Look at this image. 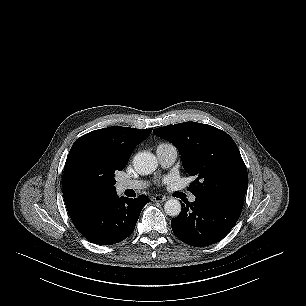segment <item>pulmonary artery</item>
Returning a JSON list of instances; mask_svg holds the SVG:
<instances>
[{"instance_id":"1","label":"pulmonary artery","mask_w":306,"mask_h":306,"mask_svg":"<svg viewBox=\"0 0 306 306\" xmlns=\"http://www.w3.org/2000/svg\"><path fill=\"white\" fill-rule=\"evenodd\" d=\"M156 156L161 166L168 167L172 165L177 158V149L171 145H158L156 148ZM146 187V183L141 180H121L117 183L118 192H124L128 189H142ZM190 201H195V196L190 197Z\"/></svg>"}]
</instances>
